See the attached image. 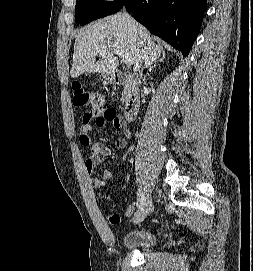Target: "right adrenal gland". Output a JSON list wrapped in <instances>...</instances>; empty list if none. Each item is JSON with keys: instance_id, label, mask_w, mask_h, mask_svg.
<instances>
[{"instance_id": "right-adrenal-gland-1", "label": "right adrenal gland", "mask_w": 253, "mask_h": 271, "mask_svg": "<svg viewBox=\"0 0 253 271\" xmlns=\"http://www.w3.org/2000/svg\"><path fill=\"white\" fill-rule=\"evenodd\" d=\"M164 59H165V55H163L162 57H160V59H158L157 61H155L153 64L149 65L148 72H151L152 69L156 67L157 63L158 62H163Z\"/></svg>"}]
</instances>
